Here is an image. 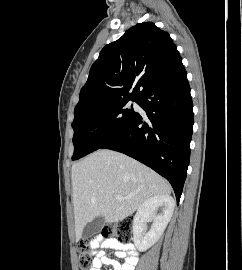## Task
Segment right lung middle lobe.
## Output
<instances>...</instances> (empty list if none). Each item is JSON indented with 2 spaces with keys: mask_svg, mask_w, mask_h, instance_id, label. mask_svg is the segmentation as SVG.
<instances>
[{
  "mask_svg": "<svg viewBox=\"0 0 242 270\" xmlns=\"http://www.w3.org/2000/svg\"><path fill=\"white\" fill-rule=\"evenodd\" d=\"M125 99L108 102L94 108L76 113L72 127L74 129V155L77 160L97 149L115 136L133 115V108Z\"/></svg>",
  "mask_w": 242,
  "mask_h": 270,
  "instance_id": "obj_1",
  "label": "right lung middle lobe"
}]
</instances>
